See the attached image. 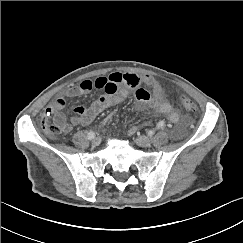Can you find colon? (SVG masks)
I'll use <instances>...</instances> for the list:
<instances>
[{
  "label": "colon",
  "mask_w": 243,
  "mask_h": 243,
  "mask_svg": "<svg viewBox=\"0 0 243 243\" xmlns=\"http://www.w3.org/2000/svg\"><path fill=\"white\" fill-rule=\"evenodd\" d=\"M179 102L181 106L189 112H195L197 110L194 102L185 95L179 97ZM41 125L43 129L52 136H57L66 132L65 119L63 115L56 112L44 113L41 117Z\"/></svg>",
  "instance_id": "1"
}]
</instances>
